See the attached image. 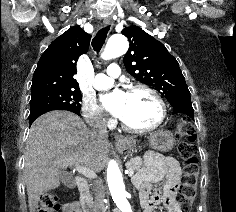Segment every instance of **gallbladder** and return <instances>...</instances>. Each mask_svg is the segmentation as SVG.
<instances>
[{
  "label": "gallbladder",
  "mask_w": 236,
  "mask_h": 212,
  "mask_svg": "<svg viewBox=\"0 0 236 212\" xmlns=\"http://www.w3.org/2000/svg\"><path fill=\"white\" fill-rule=\"evenodd\" d=\"M58 178H59L60 182H62L66 186L73 185V179H72L71 175L66 172H63V171L59 172Z\"/></svg>",
  "instance_id": "obj_1"
}]
</instances>
